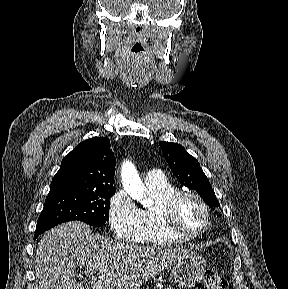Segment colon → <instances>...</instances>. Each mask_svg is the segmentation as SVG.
<instances>
[{"mask_svg": "<svg viewBox=\"0 0 288 289\" xmlns=\"http://www.w3.org/2000/svg\"><path fill=\"white\" fill-rule=\"evenodd\" d=\"M203 282L206 289H225V281L221 275L213 269L204 272Z\"/></svg>", "mask_w": 288, "mask_h": 289, "instance_id": "colon-1", "label": "colon"}]
</instances>
